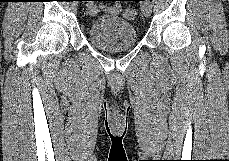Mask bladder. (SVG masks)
<instances>
[{"label":"bladder","mask_w":229,"mask_h":161,"mask_svg":"<svg viewBox=\"0 0 229 161\" xmlns=\"http://www.w3.org/2000/svg\"><path fill=\"white\" fill-rule=\"evenodd\" d=\"M88 38L100 49L120 50L134 47L138 34L132 23L118 16H104L90 24Z\"/></svg>","instance_id":"31cf9c89"}]
</instances>
